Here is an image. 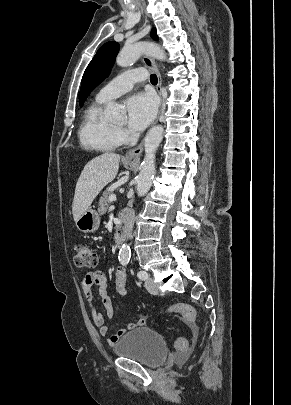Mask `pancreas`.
<instances>
[{
  "instance_id": "cf45deb5",
  "label": "pancreas",
  "mask_w": 291,
  "mask_h": 405,
  "mask_svg": "<svg viewBox=\"0 0 291 405\" xmlns=\"http://www.w3.org/2000/svg\"><path fill=\"white\" fill-rule=\"evenodd\" d=\"M113 192L109 189L103 192V196L100 198L99 201V207H98V212L101 215H104L107 210L109 209V206L111 204V201L109 200L110 195H112ZM121 213H119V218H121Z\"/></svg>"
}]
</instances>
